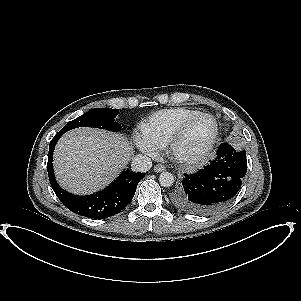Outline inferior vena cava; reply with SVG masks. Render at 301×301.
Instances as JSON below:
<instances>
[{
    "instance_id": "1",
    "label": "inferior vena cava",
    "mask_w": 301,
    "mask_h": 301,
    "mask_svg": "<svg viewBox=\"0 0 301 301\" xmlns=\"http://www.w3.org/2000/svg\"><path fill=\"white\" fill-rule=\"evenodd\" d=\"M152 167L151 159L146 155H135L131 162V170L134 172H147Z\"/></svg>"
}]
</instances>
